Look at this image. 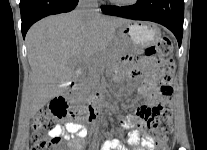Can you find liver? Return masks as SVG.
<instances>
[{"mask_svg": "<svg viewBox=\"0 0 207 150\" xmlns=\"http://www.w3.org/2000/svg\"><path fill=\"white\" fill-rule=\"evenodd\" d=\"M130 22L101 14L82 19L74 10L49 16L26 35L31 76L23 92L22 107L32 118L50 100L62 94L74 79L75 65H87L112 45L116 29Z\"/></svg>", "mask_w": 207, "mask_h": 150, "instance_id": "1", "label": "liver"}]
</instances>
